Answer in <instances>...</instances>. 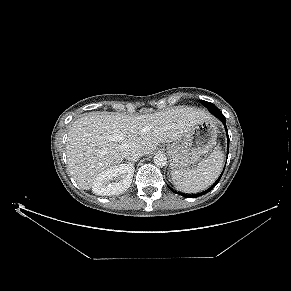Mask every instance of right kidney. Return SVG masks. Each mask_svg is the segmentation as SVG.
I'll use <instances>...</instances> for the list:
<instances>
[{
    "mask_svg": "<svg viewBox=\"0 0 291 291\" xmlns=\"http://www.w3.org/2000/svg\"><path fill=\"white\" fill-rule=\"evenodd\" d=\"M134 167L129 164L113 166L102 172L94 181L92 191L96 195H116L124 192L131 184ZM115 180V182H111Z\"/></svg>",
    "mask_w": 291,
    "mask_h": 291,
    "instance_id": "right-kidney-1",
    "label": "right kidney"
}]
</instances>
